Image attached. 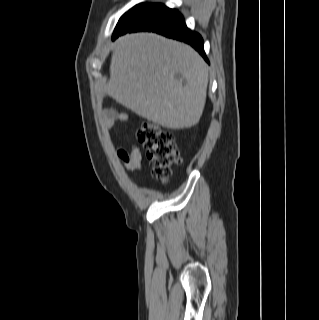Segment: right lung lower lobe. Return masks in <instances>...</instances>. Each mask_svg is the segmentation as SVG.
Listing matches in <instances>:
<instances>
[{"label": "right lung lower lobe", "mask_w": 319, "mask_h": 320, "mask_svg": "<svg viewBox=\"0 0 319 320\" xmlns=\"http://www.w3.org/2000/svg\"><path fill=\"white\" fill-rule=\"evenodd\" d=\"M153 31L190 44L208 62L203 48V39L196 33L189 30L181 14L172 9L162 11L132 28L117 29L114 31L113 39L127 32Z\"/></svg>", "instance_id": "1"}]
</instances>
